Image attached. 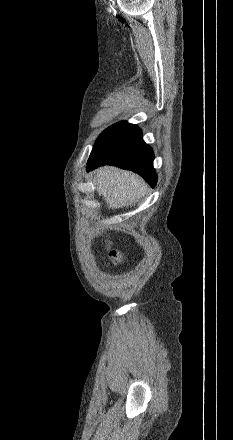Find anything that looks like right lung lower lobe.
Masks as SVG:
<instances>
[{
  "label": "right lung lower lobe",
  "instance_id": "1",
  "mask_svg": "<svg viewBox=\"0 0 233 440\" xmlns=\"http://www.w3.org/2000/svg\"><path fill=\"white\" fill-rule=\"evenodd\" d=\"M153 159V151L143 141L141 129L122 121L99 136L88 159L87 170L104 164L116 165L137 172L154 187L157 175Z\"/></svg>",
  "mask_w": 233,
  "mask_h": 440
}]
</instances>
